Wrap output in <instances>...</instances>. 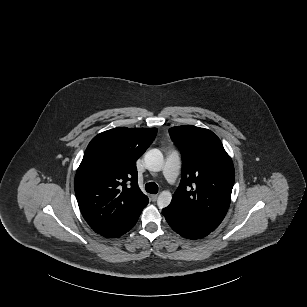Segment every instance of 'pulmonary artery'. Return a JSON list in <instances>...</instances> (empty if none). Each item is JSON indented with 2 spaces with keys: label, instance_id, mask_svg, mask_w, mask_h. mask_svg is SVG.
<instances>
[{
  "label": "pulmonary artery",
  "instance_id": "obj_1",
  "mask_svg": "<svg viewBox=\"0 0 307 307\" xmlns=\"http://www.w3.org/2000/svg\"><path fill=\"white\" fill-rule=\"evenodd\" d=\"M182 170V151L178 147H171L168 150L164 169L159 177L170 187H177L180 184L178 174Z\"/></svg>",
  "mask_w": 307,
  "mask_h": 307
}]
</instances>
